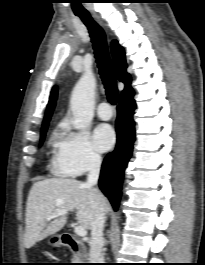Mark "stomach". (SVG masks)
<instances>
[{
    "instance_id": "1",
    "label": "stomach",
    "mask_w": 205,
    "mask_h": 265,
    "mask_svg": "<svg viewBox=\"0 0 205 265\" xmlns=\"http://www.w3.org/2000/svg\"><path fill=\"white\" fill-rule=\"evenodd\" d=\"M48 243L51 246H54V247L60 246L62 244L61 236L60 235H57V234L51 235L50 238H49V240H48Z\"/></svg>"
}]
</instances>
